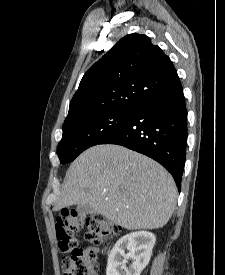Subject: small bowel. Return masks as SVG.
Instances as JSON below:
<instances>
[{
    "label": "small bowel",
    "mask_w": 225,
    "mask_h": 275,
    "mask_svg": "<svg viewBox=\"0 0 225 275\" xmlns=\"http://www.w3.org/2000/svg\"><path fill=\"white\" fill-rule=\"evenodd\" d=\"M87 250H88V251H94V252H96V253H99V252H100V249H99V248H97V247H91V246L88 247ZM91 275H98V274H97L96 272H92Z\"/></svg>",
    "instance_id": "c3829d8e"
}]
</instances>
